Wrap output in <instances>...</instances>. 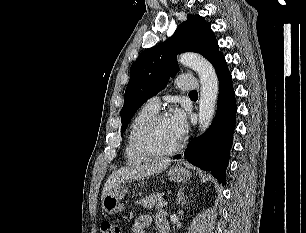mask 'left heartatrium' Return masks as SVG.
Here are the masks:
<instances>
[{"mask_svg":"<svg viewBox=\"0 0 306 233\" xmlns=\"http://www.w3.org/2000/svg\"><path fill=\"white\" fill-rule=\"evenodd\" d=\"M170 125L176 135L181 140L186 134L188 128L187 116L181 108H175L169 117Z\"/></svg>","mask_w":306,"mask_h":233,"instance_id":"39dd6f15","label":"left heart atrium"}]
</instances>
